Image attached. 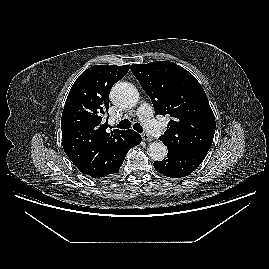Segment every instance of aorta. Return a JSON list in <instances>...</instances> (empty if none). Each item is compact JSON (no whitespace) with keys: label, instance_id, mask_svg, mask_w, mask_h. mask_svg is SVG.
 Here are the masks:
<instances>
[{"label":"aorta","instance_id":"762f6f07","mask_svg":"<svg viewBox=\"0 0 269 269\" xmlns=\"http://www.w3.org/2000/svg\"><path fill=\"white\" fill-rule=\"evenodd\" d=\"M138 99V91L130 83L120 82L112 88L111 100L119 107H133L137 104ZM148 155L154 161H162L167 155V147L161 141L152 142L148 147Z\"/></svg>","mask_w":269,"mask_h":269}]
</instances>
